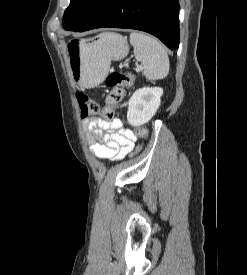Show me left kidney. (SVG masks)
<instances>
[{
  "mask_svg": "<svg viewBox=\"0 0 247 275\" xmlns=\"http://www.w3.org/2000/svg\"><path fill=\"white\" fill-rule=\"evenodd\" d=\"M163 89L143 87L134 92L128 102L127 120L132 126L147 123L156 113L161 103Z\"/></svg>",
  "mask_w": 247,
  "mask_h": 275,
  "instance_id": "1",
  "label": "left kidney"
}]
</instances>
